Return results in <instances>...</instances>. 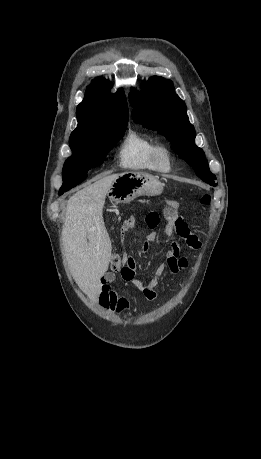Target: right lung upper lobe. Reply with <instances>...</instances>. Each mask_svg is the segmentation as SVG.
Masks as SVG:
<instances>
[{"mask_svg": "<svg viewBox=\"0 0 261 459\" xmlns=\"http://www.w3.org/2000/svg\"><path fill=\"white\" fill-rule=\"evenodd\" d=\"M78 126L71 136L83 131L128 123L127 101L122 89L110 93V83L98 77L87 88L83 101L77 106ZM70 136V137H71Z\"/></svg>", "mask_w": 261, "mask_h": 459, "instance_id": "cb5924a9", "label": "right lung upper lobe"}]
</instances>
